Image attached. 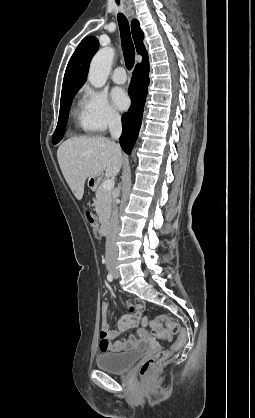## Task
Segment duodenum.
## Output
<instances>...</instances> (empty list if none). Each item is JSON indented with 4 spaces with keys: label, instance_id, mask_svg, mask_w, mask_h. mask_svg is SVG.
I'll return each mask as SVG.
<instances>
[{
    "label": "duodenum",
    "instance_id": "obj_1",
    "mask_svg": "<svg viewBox=\"0 0 255 418\" xmlns=\"http://www.w3.org/2000/svg\"><path fill=\"white\" fill-rule=\"evenodd\" d=\"M99 235L101 237H105L108 233V221L106 219H102L99 225Z\"/></svg>",
    "mask_w": 255,
    "mask_h": 418
}]
</instances>
